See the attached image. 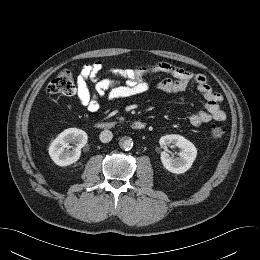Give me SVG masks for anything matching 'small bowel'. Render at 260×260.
I'll return each instance as SVG.
<instances>
[{
	"label": "small bowel",
	"mask_w": 260,
	"mask_h": 260,
	"mask_svg": "<svg viewBox=\"0 0 260 260\" xmlns=\"http://www.w3.org/2000/svg\"><path fill=\"white\" fill-rule=\"evenodd\" d=\"M103 71V63L96 61L85 64L77 75V97L90 114H95L100 110L102 98L113 101L146 93L149 85L145 81V77L164 73L171 78L160 81L156 86L157 91L167 94L179 93L185 91L194 82L198 91L204 96L206 100L204 110L193 113L189 117V123L193 127H198L211 120L221 122L226 119V113L220 107L222 96L211 88L203 74L190 72L168 62H158L132 69L114 68L107 71V76L104 77L102 76ZM90 81L95 82L93 90L89 86Z\"/></svg>",
	"instance_id": "obj_1"
}]
</instances>
